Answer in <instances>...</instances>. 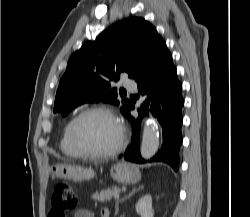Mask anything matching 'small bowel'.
Instances as JSON below:
<instances>
[{
    "instance_id": "small-bowel-1",
    "label": "small bowel",
    "mask_w": 250,
    "mask_h": 217,
    "mask_svg": "<svg viewBox=\"0 0 250 217\" xmlns=\"http://www.w3.org/2000/svg\"><path fill=\"white\" fill-rule=\"evenodd\" d=\"M109 210L107 208H104L101 210V217H109ZM74 217H93V213L88 210V209H78L75 213H74Z\"/></svg>"
}]
</instances>
